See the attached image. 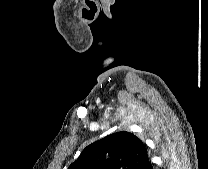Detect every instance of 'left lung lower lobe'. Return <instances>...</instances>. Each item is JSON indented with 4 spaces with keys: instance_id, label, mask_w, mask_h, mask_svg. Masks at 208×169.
I'll return each mask as SVG.
<instances>
[{
    "instance_id": "obj_1",
    "label": "left lung lower lobe",
    "mask_w": 208,
    "mask_h": 169,
    "mask_svg": "<svg viewBox=\"0 0 208 169\" xmlns=\"http://www.w3.org/2000/svg\"><path fill=\"white\" fill-rule=\"evenodd\" d=\"M143 169H153L152 164L150 162V160L147 161V163L145 164Z\"/></svg>"
}]
</instances>
